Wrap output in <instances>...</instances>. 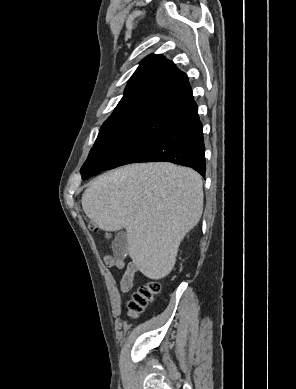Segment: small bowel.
<instances>
[{
  "label": "small bowel",
  "instance_id": "obj_1",
  "mask_svg": "<svg viewBox=\"0 0 296 389\" xmlns=\"http://www.w3.org/2000/svg\"><path fill=\"white\" fill-rule=\"evenodd\" d=\"M107 262L110 266H117L119 268L125 267L124 274H123L122 279L120 281V289L123 292L129 291L133 286L134 278H135V275L138 271L136 264L133 262H130L126 265L124 259H117L116 260V259L111 258V257H109L107 259Z\"/></svg>",
  "mask_w": 296,
  "mask_h": 389
}]
</instances>
